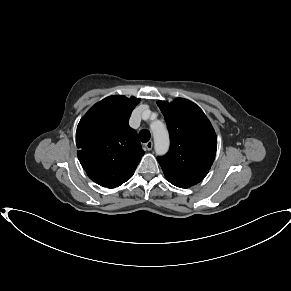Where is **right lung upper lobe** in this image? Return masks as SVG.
<instances>
[{"instance_id": "obj_1", "label": "right lung upper lobe", "mask_w": 291, "mask_h": 291, "mask_svg": "<svg viewBox=\"0 0 291 291\" xmlns=\"http://www.w3.org/2000/svg\"><path fill=\"white\" fill-rule=\"evenodd\" d=\"M139 101L121 95L106 97L78 124V159L89 178L103 187L126 182L144 155L136 131L128 125Z\"/></svg>"}]
</instances>
